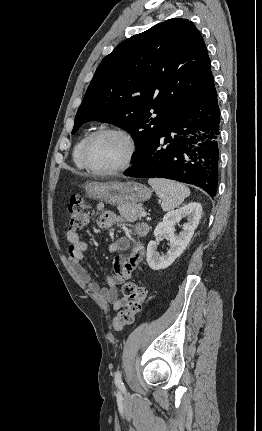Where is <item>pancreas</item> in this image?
<instances>
[{"label":"pancreas","mask_w":262,"mask_h":431,"mask_svg":"<svg viewBox=\"0 0 262 431\" xmlns=\"http://www.w3.org/2000/svg\"><path fill=\"white\" fill-rule=\"evenodd\" d=\"M118 211L127 221L133 222L140 218V212L142 211V207L139 205H119Z\"/></svg>","instance_id":"cf45deb5"}]
</instances>
